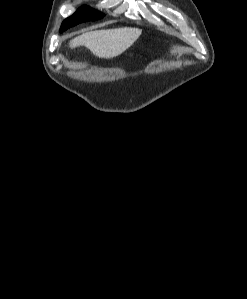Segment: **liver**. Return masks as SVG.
<instances>
[{
    "label": "liver",
    "instance_id": "1",
    "mask_svg": "<svg viewBox=\"0 0 247 299\" xmlns=\"http://www.w3.org/2000/svg\"><path fill=\"white\" fill-rule=\"evenodd\" d=\"M141 29L115 28L83 33L69 43L70 48L87 47L95 56L110 59L122 54L140 37Z\"/></svg>",
    "mask_w": 247,
    "mask_h": 299
}]
</instances>
